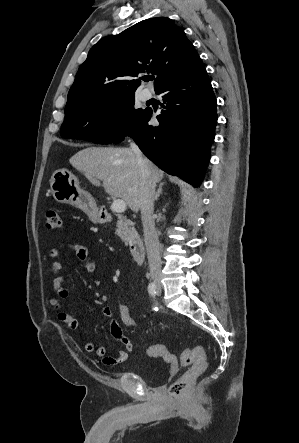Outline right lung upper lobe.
<instances>
[{
	"label": "right lung upper lobe",
	"mask_w": 299,
	"mask_h": 443,
	"mask_svg": "<svg viewBox=\"0 0 299 443\" xmlns=\"http://www.w3.org/2000/svg\"><path fill=\"white\" fill-rule=\"evenodd\" d=\"M204 65L184 30L166 17L143 20L118 35L99 40L80 66L66 107L98 99L134 94L141 73L163 84L194 73Z\"/></svg>",
	"instance_id": "1"
}]
</instances>
